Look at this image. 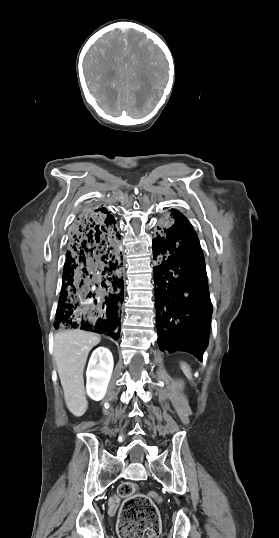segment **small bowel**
I'll list each match as a JSON object with an SVG mask.
<instances>
[{
    "label": "small bowel",
    "instance_id": "1",
    "mask_svg": "<svg viewBox=\"0 0 279 538\" xmlns=\"http://www.w3.org/2000/svg\"><path fill=\"white\" fill-rule=\"evenodd\" d=\"M118 505H119L118 497L117 496L111 497L108 503L109 514L114 515L117 511Z\"/></svg>",
    "mask_w": 279,
    "mask_h": 538
}]
</instances>
